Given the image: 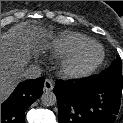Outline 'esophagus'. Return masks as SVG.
Wrapping results in <instances>:
<instances>
[{"mask_svg": "<svg viewBox=\"0 0 123 123\" xmlns=\"http://www.w3.org/2000/svg\"><path fill=\"white\" fill-rule=\"evenodd\" d=\"M54 85L53 82L50 79H46L44 82V91H51L53 89Z\"/></svg>", "mask_w": 123, "mask_h": 123, "instance_id": "esophagus-1", "label": "esophagus"}]
</instances>
